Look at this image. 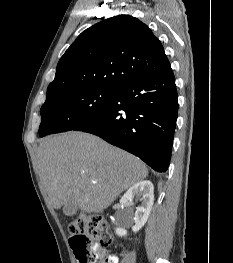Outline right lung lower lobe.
I'll list each match as a JSON object with an SVG mask.
<instances>
[{"label": "right lung lower lobe", "instance_id": "1", "mask_svg": "<svg viewBox=\"0 0 233 263\" xmlns=\"http://www.w3.org/2000/svg\"><path fill=\"white\" fill-rule=\"evenodd\" d=\"M171 67L117 89L110 105L73 130L95 134L163 172L170 163L178 111Z\"/></svg>", "mask_w": 233, "mask_h": 263}]
</instances>
